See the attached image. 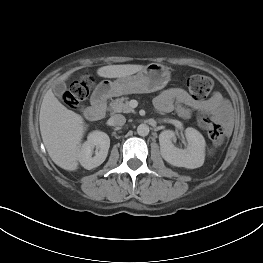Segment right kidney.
Returning a JSON list of instances; mask_svg holds the SVG:
<instances>
[{
    "mask_svg": "<svg viewBox=\"0 0 263 263\" xmlns=\"http://www.w3.org/2000/svg\"><path fill=\"white\" fill-rule=\"evenodd\" d=\"M109 147V136L101 131H93L82 144L78 152V160L85 169L91 170L105 161ZM94 148H96L95 156L92 157Z\"/></svg>",
    "mask_w": 263,
    "mask_h": 263,
    "instance_id": "ca27d5eb",
    "label": "right kidney"
}]
</instances>
